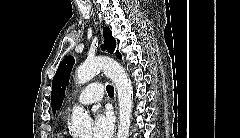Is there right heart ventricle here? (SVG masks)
<instances>
[{"label":"right heart ventricle","instance_id":"e07e8e85","mask_svg":"<svg viewBox=\"0 0 240 138\" xmlns=\"http://www.w3.org/2000/svg\"><path fill=\"white\" fill-rule=\"evenodd\" d=\"M58 138H74V137L66 134L64 131H60L58 134Z\"/></svg>","mask_w":240,"mask_h":138}]
</instances>
